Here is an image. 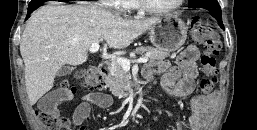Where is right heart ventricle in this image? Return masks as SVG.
<instances>
[{"label": "right heart ventricle", "instance_id": "obj_1", "mask_svg": "<svg viewBox=\"0 0 257 130\" xmlns=\"http://www.w3.org/2000/svg\"><path fill=\"white\" fill-rule=\"evenodd\" d=\"M123 8L128 10H134L137 9V4L135 0H124Z\"/></svg>", "mask_w": 257, "mask_h": 130}]
</instances>
